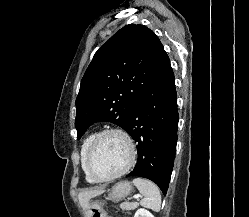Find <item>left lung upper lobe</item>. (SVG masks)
<instances>
[{"instance_id":"1","label":"left lung upper lobe","mask_w":249,"mask_h":217,"mask_svg":"<svg viewBox=\"0 0 249 217\" xmlns=\"http://www.w3.org/2000/svg\"><path fill=\"white\" fill-rule=\"evenodd\" d=\"M169 58L158 37L144 25L121 28L95 53L76 99L77 139L94 122L127 129L129 115Z\"/></svg>"}]
</instances>
